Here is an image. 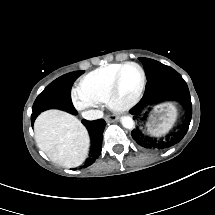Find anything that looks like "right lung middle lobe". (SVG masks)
<instances>
[{"instance_id": "right-lung-middle-lobe-1", "label": "right lung middle lobe", "mask_w": 215, "mask_h": 215, "mask_svg": "<svg viewBox=\"0 0 215 215\" xmlns=\"http://www.w3.org/2000/svg\"><path fill=\"white\" fill-rule=\"evenodd\" d=\"M82 73L83 71L68 73L50 83L35 100L31 118L35 119L40 112L52 108L76 114L77 111L71 101V87L75 79Z\"/></svg>"}]
</instances>
